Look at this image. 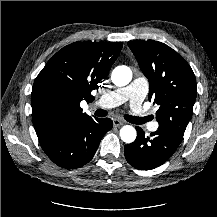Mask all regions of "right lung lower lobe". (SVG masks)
Returning <instances> with one entry per match:
<instances>
[{
  "label": "right lung lower lobe",
  "mask_w": 217,
  "mask_h": 217,
  "mask_svg": "<svg viewBox=\"0 0 217 217\" xmlns=\"http://www.w3.org/2000/svg\"><path fill=\"white\" fill-rule=\"evenodd\" d=\"M113 127L109 118H86L75 125L39 136L47 156L60 167L75 169L94 156L102 137Z\"/></svg>",
  "instance_id": "98d812e1"
}]
</instances>
